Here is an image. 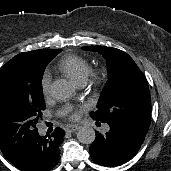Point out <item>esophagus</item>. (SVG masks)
I'll return each instance as SVG.
<instances>
[{"label": "esophagus", "instance_id": "1", "mask_svg": "<svg viewBox=\"0 0 171 171\" xmlns=\"http://www.w3.org/2000/svg\"><path fill=\"white\" fill-rule=\"evenodd\" d=\"M79 129V126L78 125H67L65 126L64 130L66 132H75L76 130Z\"/></svg>", "mask_w": 171, "mask_h": 171}]
</instances>
